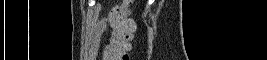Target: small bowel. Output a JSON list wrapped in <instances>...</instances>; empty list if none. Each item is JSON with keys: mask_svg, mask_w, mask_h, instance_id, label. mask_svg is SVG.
<instances>
[{"mask_svg": "<svg viewBox=\"0 0 267 60\" xmlns=\"http://www.w3.org/2000/svg\"><path fill=\"white\" fill-rule=\"evenodd\" d=\"M110 23H111V21H110ZM108 24H109L108 21H101V22L98 23V25L95 28V34L97 35V37H99V35L101 34V32L105 29V27ZM112 26H113V24H112ZM94 49L97 51L99 49V44H94Z\"/></svg>", "mask_w": 267, "mask_h": 60, "instance_id": "small-bowel-1", "label": "small bowel"}]
</instances>
